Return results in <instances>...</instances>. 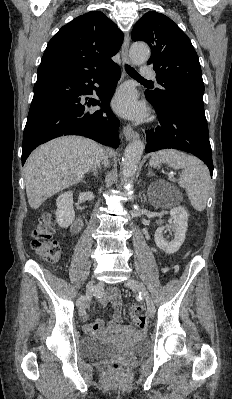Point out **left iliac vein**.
<instances>
[{
  "label": "left iliac vein",
  "instance_id": "1",
  "mask_svg": "<svg viewBox=\"0 0 232 399\" xmlns=\"http://www.w3.org/2000/svg\"><path fill=\"white\" fill-rule=\"evenodd\" d=\"M123 285H127L128 288L133 289L134 292L141 291L144 289V284L139 283V281H135V278H128V281L124 283ZM145 295V302L148 304L147 305V314L150 317H153L155 314L154 311V301L152 300V297L149 295L148 291L144 292Z\"/></svg>",
  "mask_w": 232,
  "mask_h": 399
}]
</instances>
